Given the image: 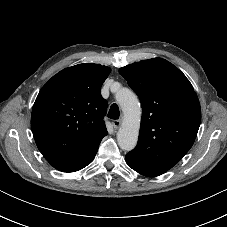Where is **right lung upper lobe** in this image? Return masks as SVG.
<instances>
[{
  "label": "right lung upper lobe",
  "mask_w": 227,
  "mask_h": 227,
  "mask_svg": "<svg viewBox=\"0 0 227 227\" xmlns=\"http://www.w3.org/2000/svg\"><path fill=\"white\" fill-rule=\"evenodd\" d=\"M111 69L78 64L63 69L40 90L32 109L31 128L45 159L63 172L78 171L95 157L107 129V101L101 85Z\"/></svg>",
  "instance_id": "obj_1"
}]
</instances>
